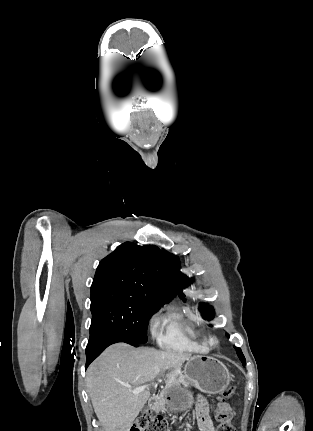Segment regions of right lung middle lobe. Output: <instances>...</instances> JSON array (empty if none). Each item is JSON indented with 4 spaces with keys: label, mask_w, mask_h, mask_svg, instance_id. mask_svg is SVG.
I'll return each instance as SVG.
<instances>
[{
    "label": "right lung middle lobe",
    "mask_w": 313,
    "mask_h": 431,
    "mask_svg": "<svg viewBox=\"0 0 313 431\" xmlns=\"http://www.w3.org/2000/svg\"><path fill=\"white\" fill-rule=\"evenodd\" d=\"M161 306L124 292L97 294L91 297L90 339L102 333H113L140 344L146 343L148 321Z\"/></svg>",
    "instance_id": "dd1d6c3e"
}]
</instances>
